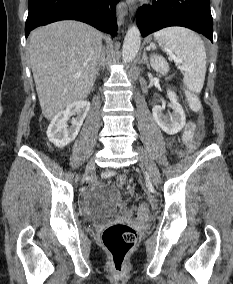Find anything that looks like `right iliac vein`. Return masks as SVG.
Returning a JSON list of instances; mask_svg holds the SVG:
<instances>
[{"mask_svg": "<svg viewBox=\"0 0 233 284\" xmlns=\"http://www.w3.org/2000/svg\"><path fill=\"white\" fill-rule=\"evenodd\" d=\"M87 169L88 171L90 172H83V175H81V180L82 181V184L83 185H88L89 184V181H90V178L89 177H94L95 176V173L92 172L95 170V162L94 160H91L88 165H87Z\"/></svg>", "mask_w": 233, "mask_h": 284, "instance_id": "63e3f726", "label": "right iliac vein"}]
</instances>
